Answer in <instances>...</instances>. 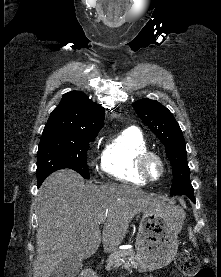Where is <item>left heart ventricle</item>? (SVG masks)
<instances>
[{"label": "left heart ventricle", "mask_w": 221, "mask_h": 277, "mask_svg": "<svg viewBox=\"0 0 221 277\" xmlns=\"http://www.w3.org/2000/svg\"><path fill=\"white\" fill-rule=\"evenodd\" d=\"M148 173L151 177L156 178L160 174V166L157 161L151 160L148 164Z\"/></svg>", "instance_id": "b2bd125f"}]
</instances>
